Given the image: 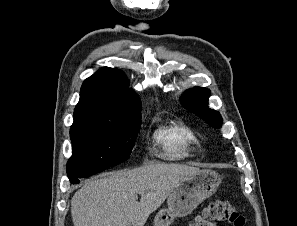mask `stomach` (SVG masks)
<instances>
[{
  "label": "stomach",
  "instance_id": "0dacf381",
  "mask_svg": "<svg viewBox=\"0 0 297 226\" xmlns=\"http://www.w3.org/2000/svg\"><path fill=\"white\" fill-rule=\"evenodd\" d=\"M220 183L218 173L208 169L180 181L168 197V207L157 213L154 225L169 226L176 217L189 215L204 199L216 192Z\"/></svg>",
  "mask_w": 297,
  "mask_h": 226
}]
</instances>
